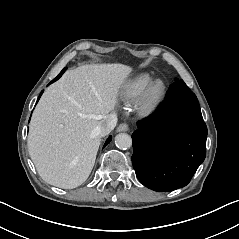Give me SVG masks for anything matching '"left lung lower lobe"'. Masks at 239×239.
I'll return each mask as SVG.
<instances>
[{
    "label": "left lung lower lobe",
    "mask_w": 239,
    "mask_h": 239,
    "mask_svg": "<svg viewBox=\"0 0 239 239\" xmlns=\"http://www.w3.org/2000/svg\"><path fill=\"white\" fill-rule=\"evenodd\" d=\"M132 135V164L149 189L186 186L206 156L207 127L196 95L184 81L170 87L166 104Z\"/></svg>",
    "instance_id": "obj_1"
}]
</instances>
